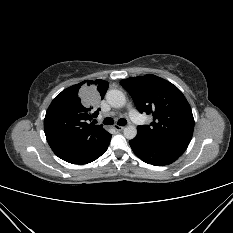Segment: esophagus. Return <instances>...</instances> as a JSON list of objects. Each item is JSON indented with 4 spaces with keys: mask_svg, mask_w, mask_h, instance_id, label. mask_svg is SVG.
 <instances>
[{
    "mask_svg": "<svg viewBox=\"0 0 233 233\" xmlns=\"http://www.w3.org/2000/svg\"><path fill=\"white\" fill-rule=\"evenodd\" d=\"M116 131H122L124 129L123 126H119V125H114L113 127Z\"/></svg>",
    "mask_w": 233,
    "mask_h": 233,
    "instance_id": "1",
    "label": "esophagus"
}]
</instances>
